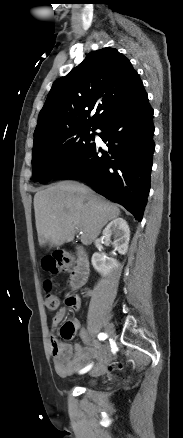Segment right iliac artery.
Here are the masks:
<instances>
[{
  "label": "right iliac artery",
  "instance_id": "82829eb1",
  "mask_svg": "<svg viewBox=\"0 0 183 438\" xmlns=\"http://www.w3.org/2000/svg\"><path fill=\"white\" fill-rule=\"evenodd\" d=\"M99 340H105L107 338V334L106 333H100L98 335ZM92 368V364L86 366L85 368H83L82 370H80V374L86 373L87 371H89Z\"/></svg>",
  "mask_w": 183,
  "mask_h": 438
}]
</instances>
